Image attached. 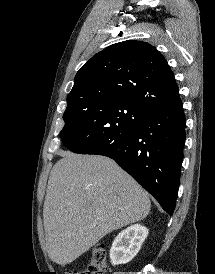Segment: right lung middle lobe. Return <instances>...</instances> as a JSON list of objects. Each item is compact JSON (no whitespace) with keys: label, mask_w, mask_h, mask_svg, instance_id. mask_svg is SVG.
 Returning a JSON list of instances; mask_svg holds the SVG:
<instances>
[{"label":"right lung middle lobe","mask_w":215,"mask_h":274,"mask_svg":"<svg viewBox=\"0 0 215 274\" xmlns=\"http://www.w3.org/2000/svg\"><path fill=\"white\" fill-rule=\"evenodd\" d=\"M146 114L137 105L123 101L67 102L60 137L71 151L88 154L130 133Z\"/></svg>","instance_id":"obj_1"}]
</instances>
